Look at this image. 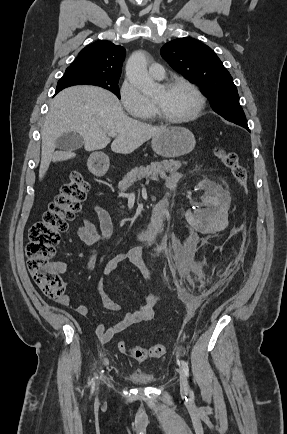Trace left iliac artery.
Instances as JSON below:
<instances>
[{
	"mask_svg": "<svg viewBox=\"0 0 287 434\" xmlns=\"http://www.w3.org/2000/svg\"><path fill=\"white\" fill-rule=\"evenodd\" d=\"M181 366H182V369H183L186 377L188 378L189 377V367H188V364L185 361L182 360L181 361ZM189 393H192V391L189 390Z\"/></svg>",
	"mask_w": 287,
	"mask_h": 434,
	"instance_id": "obj_1",
	"label": "left iliac artery"
}]
</instances>
